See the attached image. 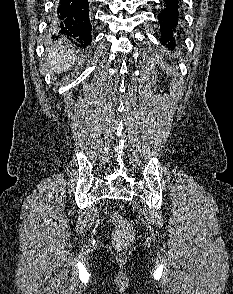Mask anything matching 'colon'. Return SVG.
Instances as JSON below:
<instances>
[{
  "label": "colon",
  "mask_w": 233,
  "mask_h": 294,
  "mask_svg": "<svg viewBox=\"0 0 233 294\" xmlns=\"http://www.w3.org/2000/svg\"><path fill=\"white\" fill-rule=\"evenodd\" d=\"M110 219L115 226L112 236L115 247L118 249L127 248L134 239V230L131 223L117 212H113Z\"/></svg>",
  "instance_id": "obj_1"
}]
</instances>
